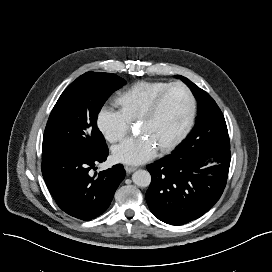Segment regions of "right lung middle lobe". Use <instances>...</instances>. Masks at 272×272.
Masks as SVG:
<instances>
[{"instance_id": "1", "label": "right lung middle lobe", "mask_w": 272, "mask_h": 272, "mask_svg": "<svg viewBox=\"0 0 272 272\" xmlns=\"http://www.w3.org/2000/svg\"><path fill=\"white\" fill-rule=\"evenodd\" d=\"M126 81L115 74L87 72L71 83L55 104L43 136V152L92 153L107 147L97 115Z\"/></svg>"}]
</instances>
